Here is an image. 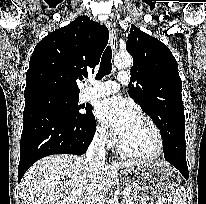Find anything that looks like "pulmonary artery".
<instances>
[{
    "mask_svg": "<svg viewBox=\"0 0 206 204\" xmlns=\"http://www.w3.org/2000/svg\"><path fill=\"white\" fill-rule=\"evenodd\" d=\"M118 80L121 84H127L129 81V75L125 71H121L118 74ZM120 88V85L115 81H105L92 83V86L83 93L85 100L105 97L110 94L116 93Z\"/></svg>",
    "mask_w": 206,
    "mask_h": 204,
    "instance_id": "e3ab8cb5",
    "label": "pulmonary artery"
}]
</instances>
